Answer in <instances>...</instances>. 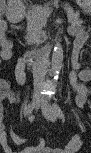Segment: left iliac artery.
<instances>
[{
	"instance_id": "left-iliac-artery-1",
	"label": "left iliac artery",
	"mask_w": 91,
	"mask_h": 153,
	"mask_svg": "<svg viewBox=\"0 0 91 153\" xmlns=\"http://www.w3.org/2000/svg\"><path fill=\"white\" fill-rule=\"evenodd\" d=\"M54 108H55V111H56L57 116H58L59 118H61V119H64V113H63V111L61 110V108L59 107V105H58V104H55V105H54Z\"/></svg>"
}]
</instances>
